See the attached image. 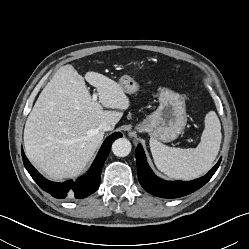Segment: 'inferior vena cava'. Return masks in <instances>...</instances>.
<instances>
[{
  "instance_id": "inferior-vena-cava-1",
  "label": "inferior vena cava",
  "mask_w": 249,
  "mask_h": 249,
  "mask_svg": "<svg viewBox=\"0 0 249 249\" xmlns=\"http://www.w3.org/2000/svg\"><path fill=\"white\" fill-rule=\"evenodd\" d=\"M98 128L101 131H110L113 129V127L107 122L100 123Z\"/></svg>"
}]
</instances>
